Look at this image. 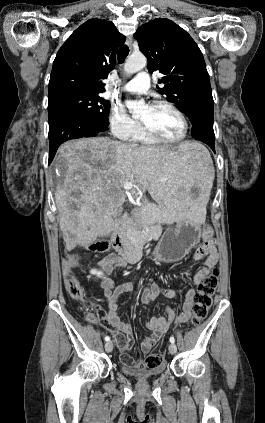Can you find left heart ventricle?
<instances>
[{"mask_svg":"<svg viewBox=\"0 0 265 423\" xmlns=\"http://www.w3.org/2000/svg\"><path fill=\"white\" fill-rule=\"evenodd\" d=\"M139 120L163 137L175 139L183 133V123L180 117L171 109L161 107L152 109L146 107Z\"/></svg>","mask_w":265,"mask_h":423,"instance_id":"1","label":"left heart ventricle"}]
</instances>
